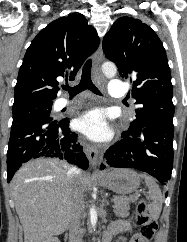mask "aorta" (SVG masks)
Segmentation results:
<instances>
[{
	"label": "aorta",
	"mask_w": 187,
	"mask_h": 242,
	"mask_svg": "<svg viewBox=\"0 0 187 242\" xmlns=\"http://www.w3.org/2000/svg\"><path fill=\"white\" fill-rule=\"evenodd\" d=\"M116 71L117 69L114 63L105 62L102 65V72L108 78L114 77L116 75ZM90 222L93 227L96 225L97 222V211L94 206H92L90 209Z\"/></svg>",
	"instance_id": "1"
}]
</instances>
